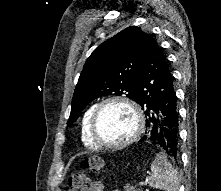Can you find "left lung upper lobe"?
<instances>
[{"instance_id": "1", "label": "left lung upper lobe", "mask_w": 221, "mask_h": 191, "mask_svg": "<svg viewBox=\"0 0 221 191\" xmlns=\"http://www.w3.org/2000/svg\"><path fill=\"white\" fill-rule=\"evenodd\" d=\"M151 40L140 28L128 27L93 51L76 85L68 125L96 98L126 95L137 100V81Z\"/></svg>"}]
</instances>
